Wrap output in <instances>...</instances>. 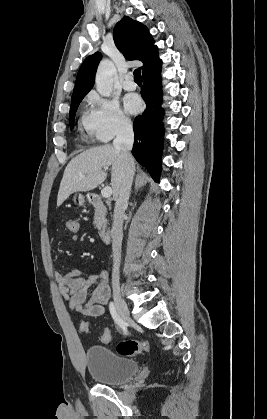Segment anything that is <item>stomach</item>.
<instances>
[{
	"label": "stomach",
	"mask_w": 267,
	"mask_h": 419,
	"mask_svg": "<svg viewBox=\"0 0 267 419\" xmlns=\"http://www.w3.org/2000/svg\"><path fill=\"white\" fill-rule=\"evenodd\" d=\"M73 201H74L75 204L81 206L85 202V197L82 194H75L74 198H73Z\"/></svg>",
	"instance_id": "1"
}]
</instances>
